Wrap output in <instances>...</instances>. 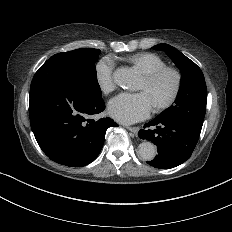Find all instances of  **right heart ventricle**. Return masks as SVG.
<instances>
[{
    "label": "right heart ventricle",
    "instance_id": "1",
    "mask_svg": "<svg viewBox=\"0 0 232 232\" xmlns=\"http://www.w3.org/2000/svg\"><path fill=\"white\" fill-rule=\"evenodd\" d=\"M132 62L141 69L143 75L166 66L165 60L156 53L142 52L132 57Z\"/></svg>",
    "mask_w": 232,
    "mask_h": 232
}]
</instances>
